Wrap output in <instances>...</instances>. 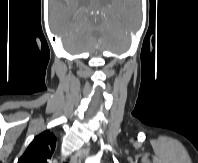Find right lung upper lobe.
Instances as JSON below:
<instances>
[{"label": "right lung upper lobe", "instance_id": "1", "mask_svg": "<svg viewBox=\"0 0 198 163\" xmlns=\"http://www.w3.org/2000/svg\"><path fill=\"white\" fill-rule=\"evenodd\" d=\"M56 147V137L48 130L37 135L18 163H48Z\"/></svg>", "mask_w": 198, "mask_h": 163}]
</instances>
